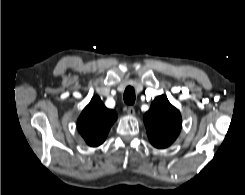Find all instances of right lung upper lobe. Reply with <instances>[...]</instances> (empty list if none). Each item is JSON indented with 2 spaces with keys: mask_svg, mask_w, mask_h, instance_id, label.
<instances>
[{
  "mask_svg": "<svg viewBox=\"0 0 245 195\" xmlns=\"http://www.w3.org/2000/svg\"><path fill=\"white\" fill-rule=\"evenodd\" d=\"M117 119L115 111L107 109L99 97H93L78 118L77 127L91 147L101 145Z\"/></svg>",
  "mask_w": 245,
  "mask_h": 195,
  "instance_id": "obj_1",
  "label": "right lung upper lobe"
}]
</instances>
